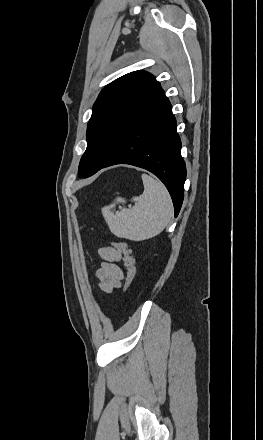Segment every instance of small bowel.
<instances>
[{"instance_id":"small-bowel-1","label":"small bowel","mask_w":263,"mask_h":440,"mask_svg":"<svg viewBox=\"0 0 263 440\" xmlns=\"http://www.w3.org/2000/svg\"><path fill=\"white\" fill-rule=\"evenodd\" d=\"M98 254L102 259L100 268L96 272L99 286L106 292L120 287L124 279V273L117 264L121 260V254L114 247H101Z\"/></svg>"}]
</instances>
